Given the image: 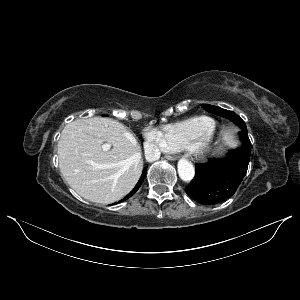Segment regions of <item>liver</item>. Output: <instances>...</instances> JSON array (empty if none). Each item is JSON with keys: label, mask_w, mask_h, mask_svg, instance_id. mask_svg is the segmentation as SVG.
Masks as SVG:
<instances>
[{"label": "liver", "mask_w": 300, "mask_h": 300, "mask_svg": "<svg viewBox=\"0 0 300 300\" xmlns=\"http://www.w3.org/2000/svg\"><path fill=\"white\" fill-rule=\"evenodd\" d=\"M223 139L231 140L226 132ZM110 149L103 150V143ZM59 167L65 181L83 198L110 204L126 196L143 169L140 144L127 127L104 117L75 120L58 141Z\"/></svg>", "instance_id": "1"}]
</instances>
